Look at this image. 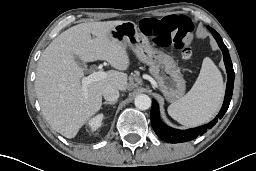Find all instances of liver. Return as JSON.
I'll return each mask as SVG.
<instances>
[{"instance_id":"6515ba94","label":"liver","mask_w":256,"mask_h":171,"mask_svg":"<svg viewBox=\"0 0 256 171\" xmlns=\"http://www.w3.org/2000/svg\"><path fill=\"white\" fill-rule=\"evenodd\" d=\"M122 22L75 25L58 35L43 51L36 70V94L43 116L62 136L74 138L86 121L99 111L105 88L127 89L128 76L124 71L130 59L126 47L109 36V32ZM75 55L84 63L107 61L117 70L109 71L105 79L89 83L85 98L81 82L83 71Z\"/></svg>"}]
</instances>
